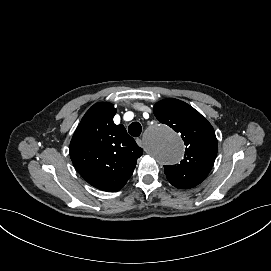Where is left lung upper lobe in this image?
<instances>
[{
	"mask_svg": "<svg viewBox=\"0 0 271 271\" xmlns=\"http://www.w3.org/2000/svg\"><path fill=\"white\" fill-rule=\"evenodd\" d=\"M156 118L181 134L186 145L183 160L164 166L169 182L179 189L199 185L209 174L218 151L211 124L193 107L177 99H164L155 104Z\"/></svg>",
	"mask_w": 271,
	"mask_h": 271,
	"instance_id": "left-lung-upper-lobe-1",
	"label": "left lung upper lobe"
}]
</instances>
